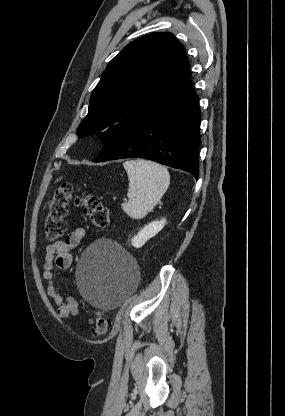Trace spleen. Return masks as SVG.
Listing matches in <instances>:
<instances>
[{
	"mask_svg": "<svg viewBox=\"0 0 285 416\" xmlns=\"http://www.w3.org/2000/svg\"><path fill=\"white\" fill-rule=\"evenodd\" d=\"M123 166L129 180V200L122 204V210L133 220H141L167 192L170 174L165 166L147 160H128Z\"/></svg>",
	"mask_w": 285,
	"mask_h": 416,
	"instance_id": "3e777b00",
	"label": "spleen"
}]
</instances>
